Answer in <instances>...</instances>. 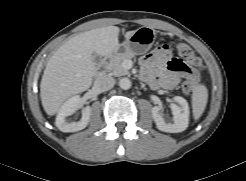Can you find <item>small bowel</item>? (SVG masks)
I'll list each match as a JSON object with an SVG mask.
<instances>
[{
  "label": "small bowel",
  "mask_w": 246,
  "mask_h": 181,
  "mask_svg": "<svg viewBox=\"0 0 246 181\" xmlns=\"http://www.w3.org/2000/svg\"><path fill=\"white\" fill-rule=\"evenodd\" d=\"M143 76L152 87L174 88L187 77L186 64L175 57L168 47H161L141 58Z\"/></svg>",
  "instance_id": "1"
}]
</instances>
